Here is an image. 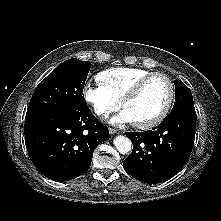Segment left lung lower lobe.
<instances>
[{"label":"left lung lower lobe","instance_id":"obj_1","mask_svg":"<svg viewBox=\"0 0 221 221\" xmlns=\"http://www.w3.org/2000/svg\"><path fill=\"white\" fill-rule=\"evenodd\" d=\"M195 111L171 112L153 130L126 132L132 153L123 161L134 178L156 183L177 173L188 160L195 139Z\"/></svg>","mask_w":221,"mask_h":221}]
</instances>
